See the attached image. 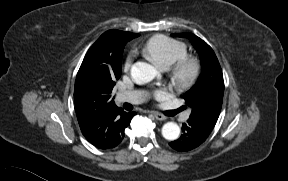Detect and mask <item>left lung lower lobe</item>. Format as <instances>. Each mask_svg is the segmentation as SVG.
<instances>
[{"mask_svg": "<svg viewBox=\"0 0 288 181\" xmlns=\"http://www.w3.org/2000/svg\"><path fill=\"white\" fill-rule=\"evenodd\" d=\"M214 126L198 118L190 117L183 124L181 137L169 145L177 151H190L206 140Z\"/></svg>", "mask_w": 288, "mask_h": 181, "instance_id": "obj_1", "label": "left lung lower lobe"}]
</instances>
